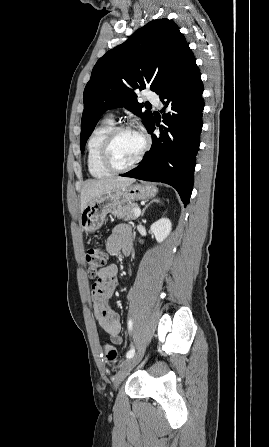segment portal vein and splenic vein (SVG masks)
I'll list each match as a JSON object with an SVG mask.
<instances>
[{"instance_id":"portal-vein-and-splenic-vein-1","label":"portal vein and splenic vein","mask_w":269,"mask_h":447,"mask_svg":"<svg viewBox=\"0 0 269 447\" xmlns=\"http://www.w3.org/2000/svg\"><path fill=\"white\" fill-rule=\"evenodd\" d=\"M134 216H136V218H139V216H141V210H140V208H135V210H134Z\"/></svg>"}]
</instances>
